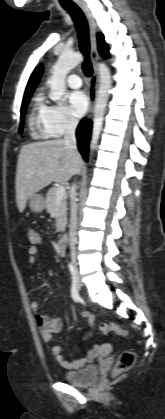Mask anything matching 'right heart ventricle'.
I'll return each mask as SVG.
<instances>
[{"label":"right heart ventricle","instance_id":"e07e8e85","mask_svg":"<svg viewBox=\"0 0 165 419\" xmlns=\"http://www.w3.org/2000/svg\"><path fill=\"white\" fill-rule=\"evenodd\" d=\"M45 104L42 101L41 95H37L34 99L31 115L30 126L37 136L48 137L49 134L45 129L43 112Z\"/></svg>","mask_w":165,"mask_h":419}]
</instances>
